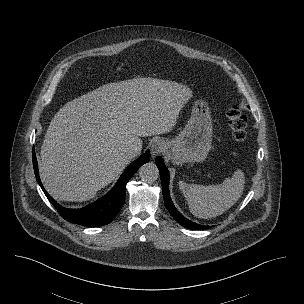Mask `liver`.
I'll list each match as a JSON object with an SVG mask.
<instances>
[{"instance_id":"obj_1","label":"liver","mask_w":304,"mask_h":304,"mask_svg":"<svg viewBox=\"0 0 304 304\" xmlns=\"http://www.w3.org/2000/svg\"><path fill=\"white\" fill-rule=\"evenodd\" d=\"M192 91L150 77L105 84L67 102L52 118L41 146L40 178L56 199L93 198L127 166L139 137L170 132Z\"/></svg>"}]
</instances>
